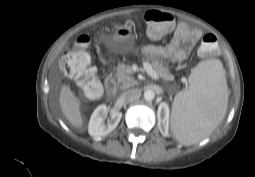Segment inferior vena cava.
Returning <instances> with one entry per match:
<instances>
[{
	"label": "inferior vena cava",
	"mask_w": 255,
	"mask_h": 177,
	"mask_svg": "<svg viewBox=\"0 0 255 177\" xmlns=\"http://www.w3.org/2000/svg\"><path fill=\"white\" fill-rule=\"evenodd\" d=\"M141 92L139 89H129L122 94V97L126 101H132L140 96Z\"/></svg>",
	"instance_id": "1"
}]
</instances>
